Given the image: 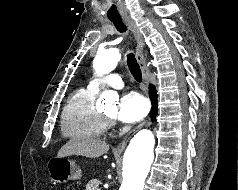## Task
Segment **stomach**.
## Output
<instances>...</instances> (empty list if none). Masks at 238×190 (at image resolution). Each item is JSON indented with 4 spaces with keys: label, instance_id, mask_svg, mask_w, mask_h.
<instances>
[{
    "label": "stomach",
    "instance_id": "1",
    "mask_svg": "<svg viewBox=\"0 0 238 190\" xmlns=\"http://www.w3.org/2000/svg\"><path fill=\"white\" fill-rule=\"evenodd\" d=\"M51 179L57 183H66L82 177V171L75 161L64 157H55L47 163Z\"/></svg>",
    "mask_w": 238,
    "mask_h": 190
}]
</instances>
